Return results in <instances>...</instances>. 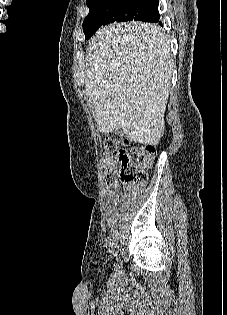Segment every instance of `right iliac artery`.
Masks as SVG:
<instances>
[{
  "instance_id": "right-iliac-artery-1",
  "label": "right iliac artery",
  "mask_w": 227,
  "mask_h": 315,
  "mask_svg": "<svg viewBox=\"0 0 227 315\" xmlns=\"http://www.w3.org/2000/svg\"><path fill=\"white\" fill-rule=\"evenodd\" d=\"M112 237H113L114 239L118 238V233L115 231V232L113 233Z\"/></svg>"
}]
</instances>
